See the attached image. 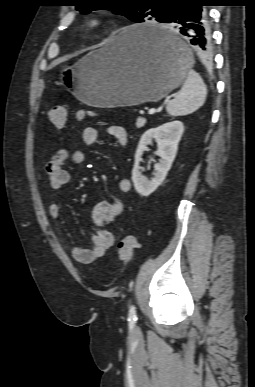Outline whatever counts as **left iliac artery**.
Masks as SVG:
<instances>
[{
    "instance_id": "obj_1",
    "label": "left iliac artery",
    "mask_w": 255,
    "mask_h": 387,
    "mask_svg": "<svg viewBox=\"0 0 255 387\" xmlns=\"http://www.w3.org/2000/svg\"><path fill=\"white\" fill-rule=\"evenodd\" d=\"M136 320H137L136 307L134 305H132L130 307L129 313H128V321H129L130 327H133L135 325Z\"/></svg>"
}]
</instances>
